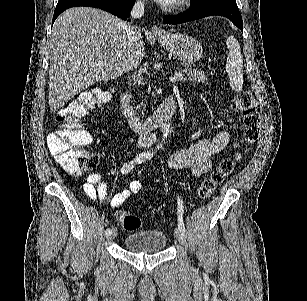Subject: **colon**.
<instances>
[{
    "instance_id": "5ec220e1",
    "label": "colon",
    "mask_w": 307,
    "mask_h": 301,
    "mask_svg": "<svg viewBox=\"0 0 307 301\" xmlns=\"http://www.w3.org/2000/svg\"><path fill=\"white\" fill-rule=\"evenodd\" d=\"M108 98L107 92L96 89L80 94L58 111L56 116L58 129L49 135L48 146L57 162L68 172L79 174L93 169L98 164V155L85 150L92 138L81 120L90 110L98 107ZM235 105L242 116L243 140L248 144L254 143L259 137L260 119L253 94L248 90L241 91L236 96ZM233 169L232 158L222 159L210 175L202 181L198 189L199 197L209 198ZM116 219L127 231L137 230L141 225L137 216L126 211H119Z\"/></svg>"
}]
</instances>
